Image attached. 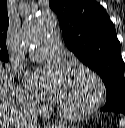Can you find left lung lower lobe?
I'll list each match as a JSON object with an SVG mask.
<instances>
[{
    "label": "left lung lower lobe",
    "mask_w": 125,
    "mask_h": 128,
    "mask_svg": "<svg viewBox=\"0 0 125 128\" xmlns=\"http://www.w3.org/2000/svg\"><path fill=\"white\" fill-rule=\"evenodd\" d=\"M101 111L118 112V113L125 114V104L118 105V106H107V107L104 106L101 109Z\"/></svg>",
    "instance_id": "obj_1"
}]
</instances>
